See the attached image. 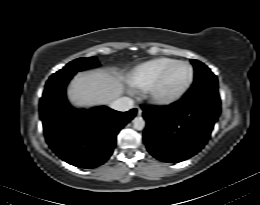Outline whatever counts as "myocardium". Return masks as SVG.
I'll use <instances>...</instances> for the list:
<instances>
[{"mask_svg":"<svg viewBox=\"0 0 260 205\" xmlns=\"http://www.w3.org/2000/svg\"><path fill=\"white\" fill-rule=\"evenodd\" d=\"M184 64L189 67L190 69V78L188 83L177 93L169 95V96H163L158 93V88L161 85V83L164 81L167 74L174 68L176 65ZM195 79V72L193 66L183 60H177L170 64L168 67H166L159 75L158 77L146 88V98L152 102L155 105L158 106H169L177 101H179L192 87Z\"/></svg>","mask_w":260,"mask_h":205,"instance_id":"obj_1","label":"myocardium"}]
</instances>
